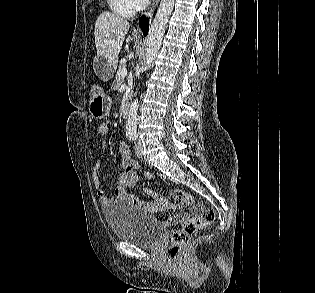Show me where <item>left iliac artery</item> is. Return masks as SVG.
<instances>
[{
	"instance_id": "1",
	"label": "left iliac artery",
	"mask_w": 315,
	"mask_h": 293,
	"mask_svg": "<svg viewBox=\"0 0 315 293\" xmlns=\"http://www.w3.org/2000/svg\"><path fill=\"white\" fill-rule=\"evenodd\" d=\"M128 137H129L130 140H133V141H134V140L137 139L138 135H137L136 132H130V133L128 134Z\"/></svg>"
}]
</instances>
